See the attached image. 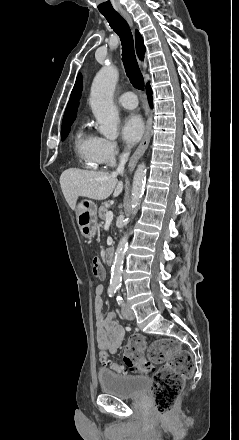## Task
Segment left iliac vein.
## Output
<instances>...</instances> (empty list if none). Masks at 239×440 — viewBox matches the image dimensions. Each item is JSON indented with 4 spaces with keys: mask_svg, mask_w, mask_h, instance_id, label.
<instances>
[{
    "mask_svg": "<svg viewBox=\"0 0 239 440\" xmlns=\"http://www.w3.org/2000/svg\"><path fill=\"white\" fill-rule=\"evenodd\" d=\"M122 315L127 320H133L135 318L133 310L127 305L122 307Z\"/></svg>",
    "mask_w": 239,
    "mask_h": 440,
    "instance_id": "left-iliac-vein-1",
    "label": "left iliac vein"
}]
</instances>
